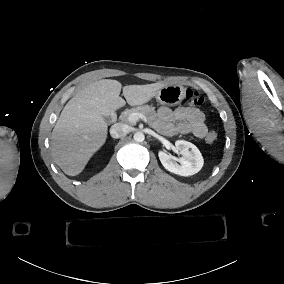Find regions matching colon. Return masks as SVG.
<instances>
[{
	"instance_id": "1",
	"label": "colon",
	"mask_w": 284,
	"mask_h": 284,
	"mask_svg": "<svg viewBox=\"0 0 284 284\" xmlns=\"http://www.w3.org/2000/svg\"><path fill=\"white\" fill-rule=\"evenodd\" d=\"M186 102L191 106L200 107L204 104L205 99L197 91L188 88L186 90ZM215 140H216V134L214 132H210L209 134H207L206 141L208 143H213Z\"/></svg>"
}]
</instances>
